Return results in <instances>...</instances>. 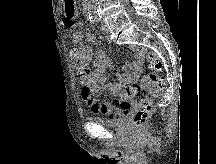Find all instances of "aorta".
Returning <instances> with one entry per match:
<instances>
[{
    "instance_id": "obj_1",
    "label": "aorta",
    "mask_w": 216,
    "mask_h": 164,
    "mask_svg": "<svg viewBox=\"0 0 216 164\" xmlns=\"http://www.w3.org/2000/svg\"><path fill=\"white\" fill-rule=\"evenodd\" d=\"M89 15L95 17L97 14V2L98 0H85Z\"/></svg>"
}]
</instances>
